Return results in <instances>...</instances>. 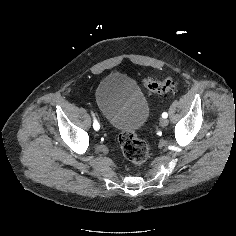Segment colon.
<instances>
[{
	"instance_id": "obj_1",
	"label": "colon",
	"mask_w": 236,
	"mask_h": 236,
	"mask_svg": "<svg viewBox=\"0 0 236 236\" xmlns=\"http://www.w3.org/2000/svg\"><path fill=\"white\" fill-rule=\"evenodd\" d=\"M142 82L147 91L158 95H165L175 89V82L170 77H146ZM119 144L123 155L132 165L141 166L147 161L149 147L135 132L120 133Z\"/></svg>"
}]
</instances>
